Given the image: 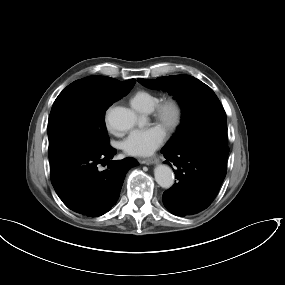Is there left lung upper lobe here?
I'll return each instance as SVG.
<instances>
[{
  "label": "left lung upper lobe",
  "instance_id": "obj_1",
  "mask_svg": "<svg viewBox=\"0 0 285 285\" xmlns=\"http://www.w3.org/2000/svg\"><path fill=\"white\" fill-rule=\"evenodd\" d=\"M138 82L167 91L182 107L181 125L163 149L176 151L207 142L228 145L226 114L209 86L189 75L139 78Z\"/></svg>",
  "mask_w": 285,
  "mask_h": 285
}]
</instances>
